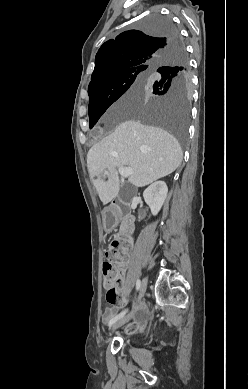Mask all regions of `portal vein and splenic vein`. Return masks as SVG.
Instances as JSON below:
<instances>
[{
  "mask_svg": "<svg viewBox=\"0 0 248 389\" xmlns=\"http://www.w3.org/2000/svg\"><path fill=\"white\" fill-rule=\"evenodd\" d=\"M118 171L122 177H129L133 174V170L130 167H119ZM108 171H104V175H107Z\"/></svg>",
  "mask_w": 248,
  "mask_h": 389,
  "instance_id": "1",
  "label": "portal vein and splenic vein"
}]
</instances>
